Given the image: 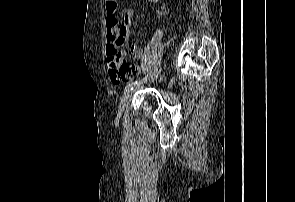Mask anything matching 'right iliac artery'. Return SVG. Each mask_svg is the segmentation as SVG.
Instances as JSON below:
<instances>
[{"instance_id": "right-iliac-artery-1", "label": "right iliac artery", "mask_w": 295, "mask_h": 202, "mask_svg": "<svg viewBox=\"0 0 295 202\" xmlns=\"http://www.w3.org/2000/svg\"><path fill=\"white\" fill-rule=\"evenodd\" d=\"M155 71H156V69L154 68V69L149 73V75L146 76L145 79H147V77H149V76H152V75L155 73ZM137 84H138V81H134V82H131V83L127 84V85L125 86L124 92H127V91H129V90H132L133 87H134L135 85H137Z\"/></svg>"}]
</instances>
